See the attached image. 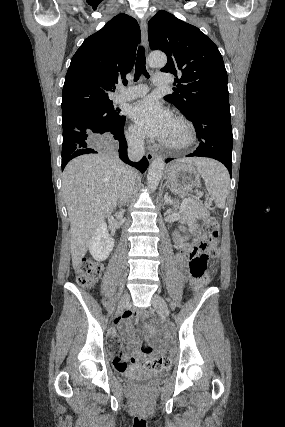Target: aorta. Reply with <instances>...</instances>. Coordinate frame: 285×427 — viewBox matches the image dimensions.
I'll return each instance as SVG.
<instances>
[{
	"label": "aorta",
	"instance_id": "obj_1",
	"mask_svg": "<svg viewBox=\"0 0 285 427\" xmlns=\"http://www.w3.org/2000/svg\"><path fill=\"white\" fill-rule=\"evenodd\" d=\"M167 63V57L162 52H152L148 57V65L151 68H161ZM164 159L162 157L155 158L148 170L147 174V185L149 190L153 191L159 185L163 170H164Z\"/></svg>",
	"mask_w": 285,
	"mask_h": 427
}]
</instances>
